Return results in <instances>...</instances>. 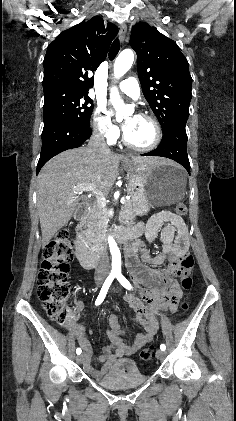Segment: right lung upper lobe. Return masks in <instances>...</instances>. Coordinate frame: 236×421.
<instances>
[{"mask_svg": "<svg viewBox=\"0 0 236 421\" xmlns=\"http://www.w3.org/2000/svg\"><path fill=\"white\" fill-rule=\"evenodd\" d=\"M118 28L94 16L58 35L50 43L44 58L43 88L87 92L94 84L93 72L105 60Z\"/></svg>", "mask_w": 236, "mask_h": 421, "instance_id": "1", "label": "right lung upper lobe"}]
</instances>
